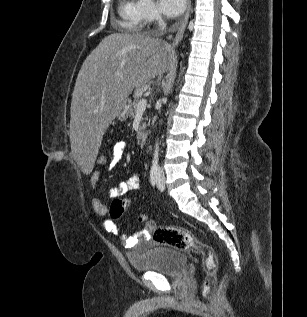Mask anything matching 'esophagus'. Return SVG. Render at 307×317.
Here are the masks:
<instances>
[{"label":"esophagus","mask_w":307,"mask_h":317,"mask_svg":"<svg viewBox=\"0 0 307 317\" xmlns=\"http://www.w3.org/2000/svg\"><path fill=\"white\" fill-rule=\"evenodd\" d=\"M190 10H191V0H187V10H186V13H185L183 20L181 21L179 30H178V32H177V34L172 42V47H176L183 38L185 29L187 26V22L189 19V15H190Z\"/></svg>","instance_id":"1"}]
</instances>
